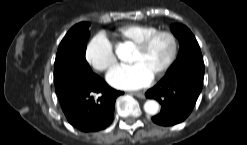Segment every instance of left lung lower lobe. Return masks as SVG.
<instances>
[{
  "label": "left lung lower lobe",
  "instance_id": "left-lung-lower-lobe-1",
  "mask_svg": "<svg viewBox=\"0 0 247 145\" xmlns=\"http://www.w3.org/2000/svg\"><path fill=\"white\" fill-rule=\"evenodd\" d=\"M203 63H187L167 71L163 79L146 92V97L161 104L153 122L170 126L184 121L195 106L202 90Z\"/></svg>",
  "mask_w": 247,
  "mask_h": 145
}]
</instances>
